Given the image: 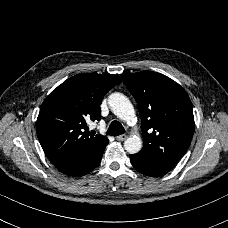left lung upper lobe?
<instances>
[{
    "instance_id": "5c2ea615",
    "label": "left lung upper lobe",
    "mask_w": 228,
    "mask_h": 228,
    "mask_svg": "<svg viewBox=\"0 0 228 228\" xmlns=\"http://www.w3.org/2000/svg\"><path fill=\"white\" fill-rule=\"evenodd\" d=\"M136 99L141 117L143 148L137 155L158 164H176L194 133V116L186 91L169 77L142 71L121 75Z\"/></svg>"
}]
</instances>
